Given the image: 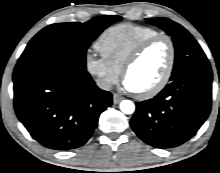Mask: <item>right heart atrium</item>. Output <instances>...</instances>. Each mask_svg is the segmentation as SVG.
Segmentation results:
<instances>
[{"instance_id": "right-heart-atrium-1", "label": "right heart atrium", "mask_w": 220, "mask_h": 173, "mask_svg": "<svg viewBox=\"0 0 220 173\" xmlns=\"http://www.w3.org/2000/svg\"><path fill=\"white\" fill-rule=\"evenodd\" d=\"M85 67L102 89H110L119 81L121 71L105 58L98 57L92 52H88L85 56Z\"/></svg>"}]
</instances>
